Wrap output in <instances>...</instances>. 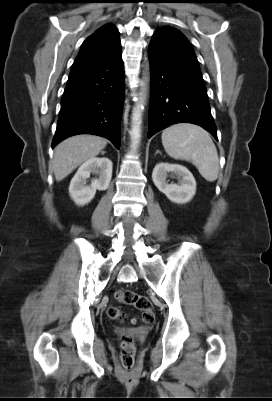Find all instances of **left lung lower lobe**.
<instances>
[{
    "mask_svg": "<svg viewBox=\"0 0 272 401\" xmlns=\"http://www.w3.org/2000/svg\"><path fill=\"white\" fill-rule=\"evenodd\" d=\"M151 90L148 138L176 123H193L217 140L207 89L193 50L156 30L148 48Z\"/></svg>",
    "mask_w": 272,
    "mask_h": 401,
    "instance_id": "0a47b994",
    "label": "left lung lower lobe"
}]
</instances>
